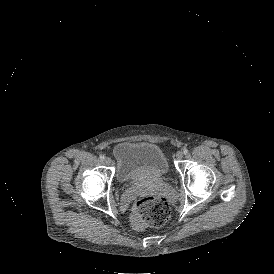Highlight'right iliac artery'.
Masks as SVG:
<instances>
[{
    "label": "right iliac artery",
    "mask_w": 274,
    "mask_h": 274,
    "mask_svg": "<svg viewBox=\"0 0 274 274\" xmlns=\"http://www.w3.org/2000/svg\"><path fill=\"white\" fill-rule=\"evenodd\" d=\"M100 159H101V160H105V156H104V155H101V156H100Z\"/></svg>",
    "instance_id": "obj_1"
}]
</instances>
